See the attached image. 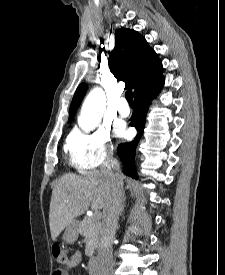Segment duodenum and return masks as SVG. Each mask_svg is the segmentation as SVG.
<instances>
[{
	"mask_svg": "<svg viewBox=\"0 0 225 275\" xmlns=\"http://www.w3.org/2000/svg\"><path fill=\"white\" fill-rule=\"evenodd\" d=\"M98 259L96 257H91L89 259V273L90 275H97V265Z\"/></svg>",
	"mask_w": 225,
	"mask_h": 275,
	"instance_id": "duodenum-1",
	"label": "duodenum"
}]
</instances>
